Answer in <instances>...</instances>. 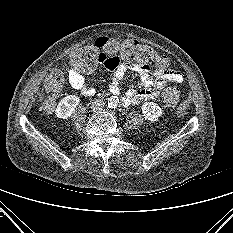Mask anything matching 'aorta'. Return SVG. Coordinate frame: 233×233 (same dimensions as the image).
<instances>
[{"label": "aorta", "mask_w": 233, "mask_h": 233, "mask_svg": "<svg viewBox=\"0 0 233 233\" xmlns=\"http://www.w3.org/2000/svg\"><path fill=\"white\" fill-rule=\"evenodd\" d=\"M119 99L117 96H112L108 100V105L111 108H115L118 105Z\"/></svg>", "instance_id": "762f6f07"}]
</instances>
